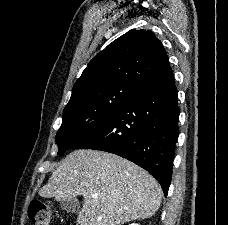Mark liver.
<instances>
[{
    "label": "liver",
    "instance_id": "1",
    "mask_svg": "<svg viewBox=\"0 0 228 225\" xmlns=\"http://www.w3.org/2000/svg\"><path fill=\"white\" fill-rule=\"evenodd\" d=\"M38 195L55 201L82 195L77 225H123L153 217L162 189L152 175L122 157L78 149L58 165Z\"/></svg>",
    "mask_w": 228,
    "mask_h": 225
}]
</instances>
